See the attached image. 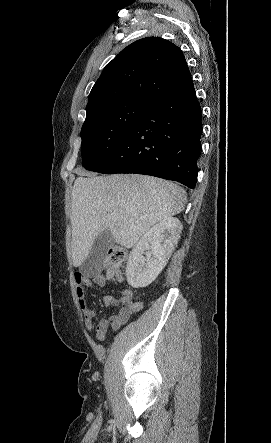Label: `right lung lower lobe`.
Listing matches in <instances>:
<instances>
[{
	"label": "right lung lower lobe",
	"mask_w": 271,
	"mask_h": 443,
	"mask_svg": "<svg viewBox=\"0 0 271 443\" xmlns=\"http://www.w3.org/2000/svg\"><path fill=\"white\" fill-rule=\"evenodd\" d=\"M201 107L194 86L153 101L112 156L95 172L136 173L197 182Z\"/></svg>",
	"instance_id": "obj_1"
}]
</instances>
